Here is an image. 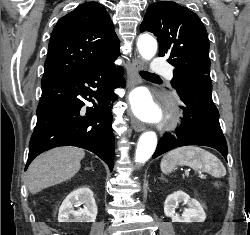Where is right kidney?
Instances as JSON below:
<instances>
[{"mask_svg":"<svg viewBox=\"0 0 250 235\" xmlns=\"http://www.w3.org/2000/svg\"><path fill=\"white\" fill-rule=\"evenodd\" d=\"M83 205V208L80 206ZM74 207H79L75 210ZM97 205L93 192L88 187H81L71 192L59 208V222H95Z\"/></svg>","mask_w":250,"mask_h":235,"instance_id":"1","label":"right kidney"}]
</instances>
